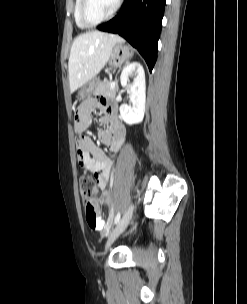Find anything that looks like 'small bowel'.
<instances>
[{"instance_id": "c3829d8e", "label": "small bowel", "mask_w": 247, "mask_h": 304, "mask_svg": "<svg viewBox=\"0 0 247 304\" xmlns=\"http://www.w3.org/2000/svg\"><path fill=\"white\" fill-rule=\"evenodd\" d=\"M93 106L92 102H85L79 106L74 125L77 133L82 134L89 128ZM95 106L105 113L101 121L106 126L98 133L100 141L110 151L116 152L121 148L126 137L125 126L117 117V107L103 98L98 99ZM76 145L80 165L94 175L97 186L104 190L109 182L113 160L88 136H80Z\"/></svg>"}]
</instances>
